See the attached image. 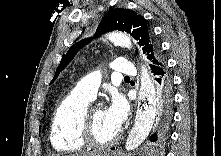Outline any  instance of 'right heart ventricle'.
<instances>
[{"label": "right heart ventricle", "instance_id": "right-heart-ventricle-1", "mask_svg": "<svg viewBox=\"0 0 221 156\" xmlns=\"http://www.w3.org/2000/svg\"><path fill=\"white\" fill-rule=\"evenodd\" d=\"M91 100L74 89L58 104L50 128L51 145L57 152L73 153L85 147L79 136V127L82 115Z\"/></svg>", "mask_w": 221, "mask_h": 156}]
</instances>
